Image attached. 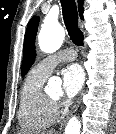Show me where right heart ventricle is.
<instances>
[{
  "instance_id": "e07e8e85",
  "label": "right heart ventricle",
  "mask_w": 116,
  "mask_h": 134,
  "mask_svg": "<svg viewBox=\"0 0 116 134\" xmlns=\"http://www.w3.org/2000/svg\"><path fill=\"white\" fill-rule=\"evenodd\" d=\"M48 75L33 67L20 91L18 119L22 128L32 131L51 126L57 118V109L44 93L43 86Z\"/></svg>"
}]
</instances>
